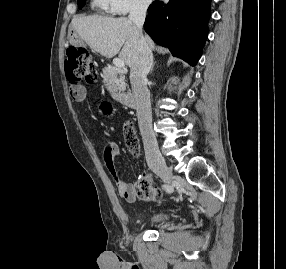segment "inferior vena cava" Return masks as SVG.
Here are the masks:
<instances>
[{
    "instance_id": "obj_1",
    "label": "inferior vena cava",
    "mask_w": 286,
    "mask_h": 269,
    "mask_svg": "<svg viewBox=\"0 0 286 269\" xmlns=\"http://www.w3.org/2000/svg\"><path fill=\"white\" fill-rule=\"evenodd\" d=\"M147 8V3H136L131 8L128 19L134 23L139 34L140 57L136 66L131 69L130 81L135 97L138 125L143 139L146 160L151 162L162 159V155L152 129L150 93L147 88V75L153 63L152 52L142 35Z\"/></svg>"
}]
</instances>
